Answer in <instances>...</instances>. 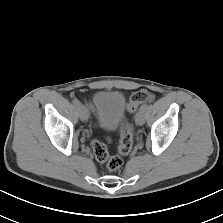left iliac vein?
Masks as SVG:
<instances>
[{"instance_id": "1", "label": "left iliac vein", "mask_w": 223, "mask_h": 223, "mask_svg": "<svg viewBox=\"0 0 223 223\" xmlns=\"http://www.w3.org/2000/svg\"><path fill=\"white\" fill-rule=\"evenodd\" d=\"M135 122L137 125L142 126L145 122V118H144V111L139 110L136 114H135Z\"/></svg>"}]
</instances>
